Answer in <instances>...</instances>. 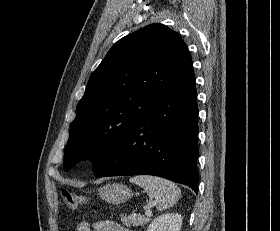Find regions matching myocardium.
Wrapping results in <instances>:
<instances>
[{"label":"myocardium","instance_id":"obj_1","mask_svg":"<svg viewBox=\"0 0 280 231\" xmlns=\"http://www.w3.org/2000/svg\"><path fill=\"white\" fill-rule=\"evenodd\" d=\"M102 153L103 148L101 146L91 147L85 152L84 160L88 164L94 163L101 157Z\"/></svg>","mask_w":280,"mask_h":231}]
</instances>
